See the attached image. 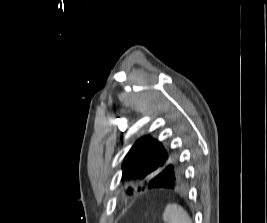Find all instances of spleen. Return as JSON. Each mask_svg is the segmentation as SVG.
I'll list each match as a JSON object with an SVG mask.
<instances>
[{
  "mask_svg": "<svg viewBox=\"0 0 267 223\" xmlns=\"http://www.w3.org/2000/svg\"><path fill=\"white\" fill-rule=\"evenodd\" d=\"M166 223H192L188 213L177 204H168L163 213Z\"/></svg>",
  "mask_w": 267,
  "mask_h": 223,
  "instance_id": "3e777b00",
  "label": "spleen"
}]
</instances>
